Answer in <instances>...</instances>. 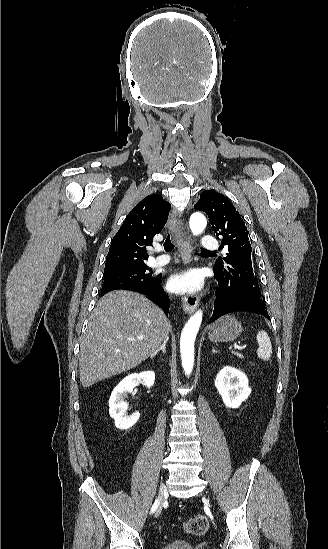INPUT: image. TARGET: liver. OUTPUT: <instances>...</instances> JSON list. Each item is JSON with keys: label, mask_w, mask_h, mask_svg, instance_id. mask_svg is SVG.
Here are the masks:
<instances>
[{"label": "liver", "mask_w": 328, "mask_h": 549, "mask_svg": "<svg viewBox=\"0 0 328 549\" xmlns=\"http://www.w3.org/2000/svg\"><path fill=\"white\" fill-rule=\"evenodd\" d=\"M171 325L162 309L132 291H112L98 301L80 345L82 387L130 371L146 361ZM138 337H144L139 341Z\"/></svg>", "instance_id": "obj_1"}]
</instances>
